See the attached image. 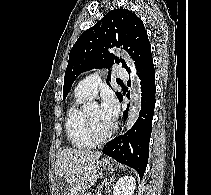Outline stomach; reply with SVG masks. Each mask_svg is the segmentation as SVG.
Returning a JSON list of instances; mask_svg holds the SVG:
<instances>
[{"label":"stomach","instance_id":"1","mask_svg":"<svg viewBox=\"0 0 211 195\" xmlns=\"http://www.w3.org/2000/svg\"><path fill=\"white\" fill-rule=\"evenodd\" d=\"M102 167L107 170H111L113 168V163L108 159H102L99 161L98 166L96 167V170L90 175L89 181L90 183H95L97 179L99 178L100 172L99 168ZM64 182H62L60 179L57 181V185H63ZM65 195V194H62ZM79 195H83V193H80Z\"/></svg>","mask_w":211,"mask_h":195}]
</instances>
